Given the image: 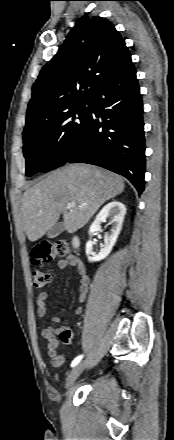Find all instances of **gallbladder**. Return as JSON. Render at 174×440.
Instances as JSON below:
<instances>
[{
    "label": "gallbladder",
    "mask_w": 174,
    "mask_h": 440,
    "mask_svg": "<svg viewBox=\"0 0 174 440\" xmlns=\"http://www.w3.org/2000/svg\"><path fill=\"white\" fill-rule=\"evenodd\" d=\"M64 231V226L62 222L55 223L48 231L49 238H55Z\"/></svg>",
    "instance_id": "bac80fb5"
}]
</instances>
